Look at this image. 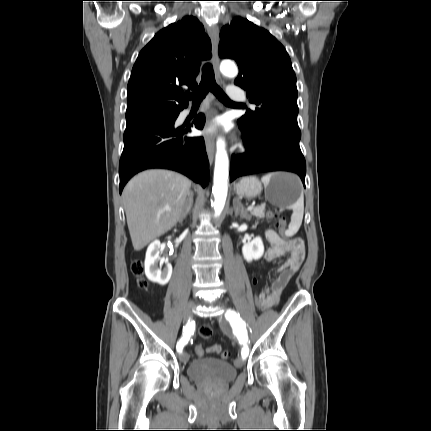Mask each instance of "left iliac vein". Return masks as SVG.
<instances>
[{
    "label": "left iliac vein",
    "mask_w": 431,
    "mask_h": 431,
    "mask_svg": "<svg viewBox=\"0 0 431 431\" xmlns=\"http://www.w3.org/2000/svg\"><path fill=\"white\" fill-rule=\"evenodd\" d=\"M234 363H235L236 367L241 368V367H243V366H244L245 361H244V359H243V358L238 357V358L235 360V362H234Z\"/></svg>",
    "instance_id": "1"
}]
</instances>
